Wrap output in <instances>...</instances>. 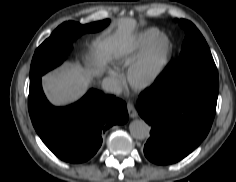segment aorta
<instances>
[{
	"label": "aorta",
	"instance_id": "762f6f07",
	"mask_svg": "<svg viewBox=\"0 0 236 182\" xmlns=\"http://www.w3.org/2000/svg\"><path fill=\"white\" fill-rule=\"evenodd\" d=\"M129 130L132 137L137 140H144L150 135V127L144 120H133L129 125Z\"/></svg>",
	"mask_w": 236,
	"mask_h": 182
}]
</instances>
